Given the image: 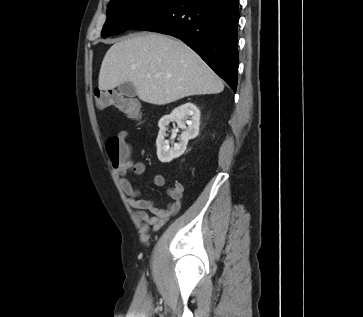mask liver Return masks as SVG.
<instances>
[{
	"label": "liver",
	"mask_w": 363,
	"mask_h": 317,
	"mask_svg": "<svg viewBox=\"0 0 363 317\" xmlns=\"http://www.w3.org/2000/svg\"><path fill=\"white\" fill-rule=\"evenodd\" d=\"M124 82L134 85L140 100L155 105L224 89L222 80L185 43L151 32L130 35L105 54L99 88L107 91Z\"/></svg>",
	"instance_id": "6515ba94"
}]
</instances>
